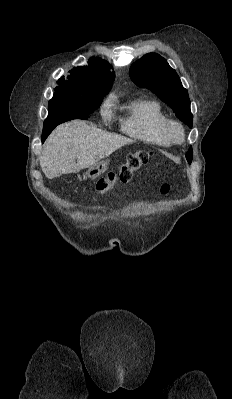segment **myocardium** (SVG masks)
<instances>
[{
  "label": "myocardium",
  "instance_id": "myocardium-1",
  "mask_svg": "<svg viewBox=\"0 0 232 399\" xmlns=\"http://www.w3.org/2000/svg\"><path fill=\"white\" fill-rule=\"evenodd\" d=\"M165 130L172 141L179 142L185 138V129L183 125L174 119H167L165 123Z\"/></svg>",
  "mask_w": 232,
  "mask_h": 399
}]
</instances>
